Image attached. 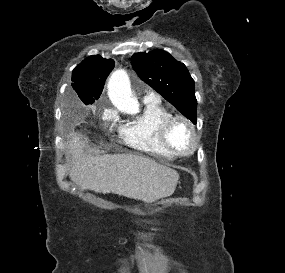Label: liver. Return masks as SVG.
Masks as SVG:
<instances>
[{
    "mask_svg": "<svg viewBox=\"0 0 285 273\" xmlns=\"http://www.w3.org/2000/svg\"><path fill=\"white\" fill-rule=\"evenodd\" d=\"M85 146L79 134L68 141L72 159L69 177L82 190L114 193L147 203L174 193L179 174L170 167L136 154L93 156Z\"/></svg>",
    "mask_w": 285,
    "mask_h": 273,
    "instance_id": "6515ba94",
    "label": "liver"
}]
</instances>
